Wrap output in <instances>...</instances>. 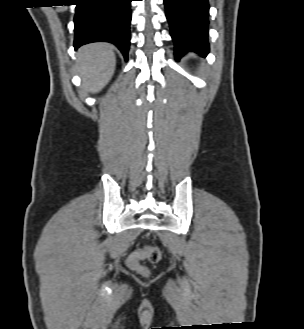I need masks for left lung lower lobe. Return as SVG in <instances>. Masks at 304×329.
Segmentation results:
<instances>
[{
    "mask_svg": "<svg viewBox=\"0 0 304 329\" xmlns=\"http://www.w3.org/2000/svg\"><path fill=\"white\" fill-rule=\"evenodd\" d=\"M164 3L176 60L188 51L206 55L209 52L208 0H164Z\"/></svg>",
    "mask_w": 304,
    "mask_h": 329,
    "instance_id": "1",
    "label": "left lung lower lobe"
}]
</instances>
